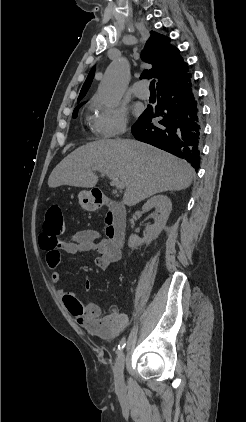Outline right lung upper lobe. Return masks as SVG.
Listing matches in <instances>:
<instances>
[{
	"label": "right lung upper lobe",
	"mask_w": 246,
	"mask_h": 422,
	"mask_svg": "<svg viewBox=\"0 0 246 422\" xmlns=\"http://www.w3.org/2000/svg\"><path fill=\"white\" fill-rule=\"evenodd\" d=\"M141 55L142 60L153 66L152 69L143 71L141 78H157V90L165 85L182 80L190 74L188 64L183 61V58L180 56V51L170 44V38L154 31L150 32V37L147 40ZM94 71L95 68L93 67L82 86L78 102L86 95L92 83ZM84 103L85 102L79 105Z\"/></svg>",
	"instance_id": "cb5924a9"
}]
</instances>
